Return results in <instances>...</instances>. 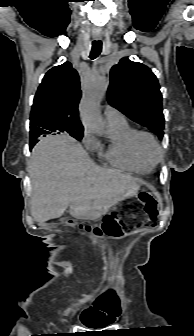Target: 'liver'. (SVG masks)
<instances>
[{
  "instance_id": "obj_1",
  "label": "liver",
  "mask_w": 194,
  "mask_h": 336,
  "mask_svg": "<svg viewBox=\"0 0 194 336\" xmlns=\"http://www.w3.org/2000/svg\"><path fill=\"white\" fill-rule=\"evenodd\" d=\"M28 169L31 215L39 223L60 218L68 207L76 219L96 220L140 188L139 179L96 165L81 144L65 135L42 138Z\"/></svg>"
}]
</instances>
